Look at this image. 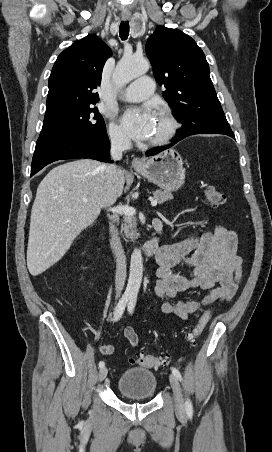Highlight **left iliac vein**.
Returning a JSON list of instances; mask_svg holds the SVG:
<instances>
[{"instance_id":"4c4485c4","label":"left iliac vein","mask_w":272,"mask_h":452,"mask_svg":"<svg viewBox=\"0 0 272 452\" xmlns=\"http://www.w3.org/2000/svg\"><path fill=\"white\" fill-rule=\"evenodd\" d=\"M169 381H170V385H171L173 393H174V402H175L176 411L179 414H184L185 405H184V399L182 396L179 381L174 374L169 375Z\"/></svg>"}]
</instances>
